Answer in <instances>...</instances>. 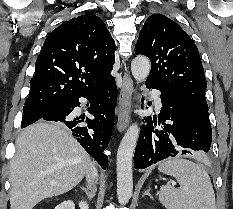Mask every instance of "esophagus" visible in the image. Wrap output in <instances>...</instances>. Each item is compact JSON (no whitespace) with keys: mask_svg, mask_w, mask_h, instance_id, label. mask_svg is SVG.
I'll return each mask as SVG.
<instances>
[{"mask_svg":"<svg viewBox=\"0 0 233 209\" xmlns=\"http://www.w3.org/2000/svg\"><path fill=\"white\" fill-rule=\"evenodd\" d=\"M133 81L127 70L122 80V90L119 94V106L117 113V130L122 133L130 122L132 106Z\"/></svg>","mask_w":233,"mask_h":209,"instance_id":"1","label":"esophagus"}]
</instances>
